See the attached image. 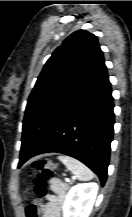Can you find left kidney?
Returning a JSON list of instances; mask_svg holds the SVG:
<instances>
[{"mask_svg": "<svg viewBox=\"0 0 132 217\" xmlns=\"http://www.w3.org/2000/svg\"><path fill=\"white\" fill-rule=\"evenodd\" d=\"M98 192L94 182L73 186L63 205V217H89Z\"/></svg>", "mask_w": 132, "mask_h": 217, "instance_id": "obj_1", "label": "left kidney"}]
</instances>
